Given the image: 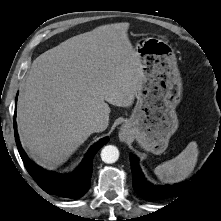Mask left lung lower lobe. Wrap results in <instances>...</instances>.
<instances>
[{
	"label": "left lung lower lobe",
	"mask_w": 221,
	"mask_h": 221,
	"mask_svg": "<svg viewBox=\"0 0 221 221\" xmlns=\"http://www.w3.org/2000/svg\"><path fill=\"white\" fill-rule=\"evenodd\" d=\"M217 100L219 103V107L221 108V97L218 96ZM220 139L221 133L218 134L217 140ZM208 162L205 164L202 171H200L191 182H182L173 186H155L145 180L138 165L137 157H135L133 154H130L134 190L140 197L148 201L177 197L181 194L183 195L198 181V179L201 177L204 170L206 169Z\"/></svg>",
	"instance_id": "1"
}]
</instances>
